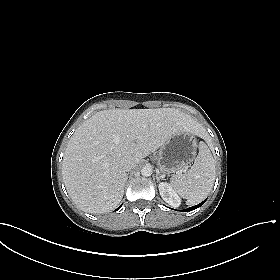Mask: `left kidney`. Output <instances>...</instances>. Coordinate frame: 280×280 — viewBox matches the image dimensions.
<instances>
[{
    "label": "left kidney",
    "instance_id": "left-kidney-1",
    "mask_svg": "<svg viewBox=\"0 0 280 280\" xmlns=\"http://www.w3.org/2000/svg\"><path fill=\"white\" fill-rule=\"evenodd\" d=\"M160 195L162 199L173 207H178L181 204V200L177 195L173 187L167 182H161L158 185Z\"/></svg>",
    "mask_w": 280,
    "mask_h": 280
}]
</instances>
